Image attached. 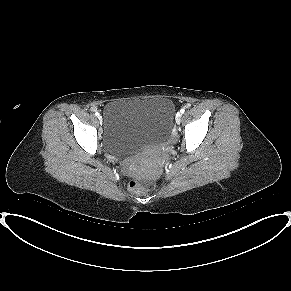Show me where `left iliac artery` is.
<instances>
[{"instance_id": "left-iliac-artery-1", "label": "left iliac artery", "mask_w": 291, "mask_h": 291, "mask_svg": "<svg viewBox=\"0 0 291 291\" xmlns=\"http://www.w3.org/2000/svg\"><path fill=\"white\" fill-rule=\"evenodd\" d=\"M184 112H185V109L182 108V109L180 110V113L183 114Z\"/></svg>"}]
</instances>
